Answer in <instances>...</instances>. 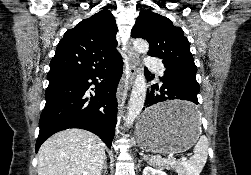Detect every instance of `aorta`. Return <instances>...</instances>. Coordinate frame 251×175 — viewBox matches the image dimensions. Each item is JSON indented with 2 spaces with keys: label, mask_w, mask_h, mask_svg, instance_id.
<instances>
[{
  "label": "aorta",
  "mask_w": 251,
  "mask_h": 175,
  "mask_svg": "<svg viewBox=\"0 0 251 175\" xmlns=\"http://www.w3.org/2000/svg\"><path fill=\"white\" fill-rule=\"evenodd\" d=\"M133 46L134 50H136L138 54H147L149 50V46L145 40H134ZM145 97L146 80L142 70L138 68L129 99V105L127 107V115L125 119L127 125H132L134 119H136L137 115H139L144 105Z\"/></svg>",
  "instance_id": "762f6f07"
}]
</instances>
